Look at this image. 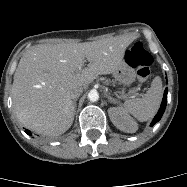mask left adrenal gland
<instances>
[{"label": "left adrenal gland", "mask_w": 187, "mask_h": 187, "mask_svg": "<svg viewBox=\"0 0 187 187\" xmlns=\"http://www.w3.org/2000/svg\"><path fill=\"white\" fill-rule=\"evenodd\" d=\"M105 96L110 103H114V104L117 103V100L113 98L112 96H110L108 93H105Z\"/></svg>", "instance_id": "obj_1"}]
</instances>
